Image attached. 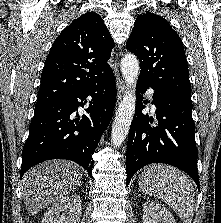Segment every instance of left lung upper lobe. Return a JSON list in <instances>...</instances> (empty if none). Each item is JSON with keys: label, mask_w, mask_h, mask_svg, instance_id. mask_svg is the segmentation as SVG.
<instances>
[{"label": "left lung upper lobe", "mask_w": 221, "mask_h": 223, "mask_svg": "<svg viewBox=\"0 0 221 223\" xmlns=\"http://www.w3.org/2000/svg\"><path fill=\"white\" fill-rule=\"evenodd\" d=\"M126 46L139 59L138 80L156 90L191 101L183 44L163 17L151 12L139 15Z\"/></svg>", "instance_id": "5c2ea615"}]
</instances>
